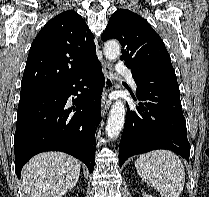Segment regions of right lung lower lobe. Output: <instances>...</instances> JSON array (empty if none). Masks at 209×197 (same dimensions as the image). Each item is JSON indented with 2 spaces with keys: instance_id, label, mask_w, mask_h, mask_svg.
I'll use <instances>...</instances> for the list:
<instances>
[{
  "instance_id": "98d812e1",
  "label": "right lung lower lobe",
  "mask_w": 209,
  "mask_h": 197,
  "mask_svg": "<svg viewBox=\"0 0 209 197\" xmlns=\"http://www.w3.org/2000/svg\"><path fill=\"white\" fill-rule=\"evenodd\" d=\"M104 82L96 60L57 86L20 97L14 137L18 177L31 157L45 151L68 153L93 172ZM70 95H77L73 107L67 105Z\"/></svg>"
}]
</instances>
